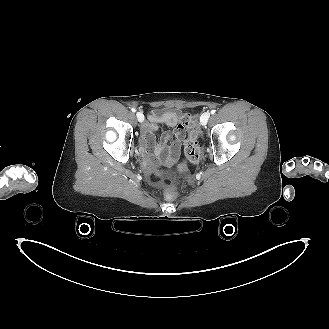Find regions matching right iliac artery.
Returning a JSON list of instances; mask_svg holds the SVG:
<instances>
[{"instance_id":"obj_1","label":"right iliac artery","mask_w":329,"mask_h":329,"mask_svg":"<svg viewBox=\"0 0 329 329\" xmlns=\"http://www.w3.org/2000/svg\"><path fill=\"white\" fill-rule=\"evenodd\" d=\"M131 111H132V112H136V109H135V108H132Z\"/></svg>"}]
</instances>
